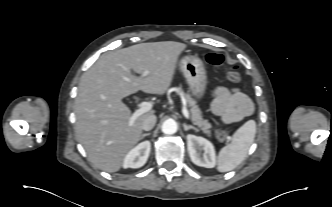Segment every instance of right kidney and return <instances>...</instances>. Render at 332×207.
<instances>
[{
    "mask_svg": "<svg viewBox=\"0 0 332 207\" xmlns=\"http://www.w3.org/2000/svg\"><path fill=\"white\" fill-rule=\"evenodd\" d=\"M151 144L149 141H144L138 144L135 148L130 150L123 161L124 168H140L142 167L150 154Z\"/></svg>",
    "mask_w": 332,
    "mask_h": 207,
    "instance_id": "right-kidney-1",
    "label": "right kidney"
}]
</instances>
